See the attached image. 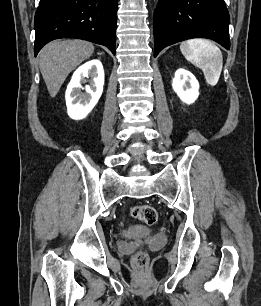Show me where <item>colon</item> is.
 Segmentation results:
<instances>
[{"mask_svg":"<svg viewBox=\"0 0 261 306\" xmlns=\"http://www.w3.org/2000/svg\"><path fill=\"white\" fill-rule=\"evenodd\" d=\"M131 215L135 219L149 226L154 225L158 219V214L156 209L147 204L134 206L131 209ZM146 260H147V255L144 251H138L133 256V261L138 267H143L146 263Z\"/></svg>","mask_w":261,"mask_h":306,"instance_id":"colon-1","label":"colon"}]
</instances>
